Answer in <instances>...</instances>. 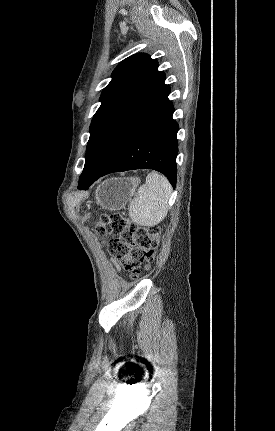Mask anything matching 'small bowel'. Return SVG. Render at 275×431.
<instances>
[{"instance_id": "1", "label": "small bowel", "mask_w": 275, "mask_h": 431, "mask_svg": "<svg viewBox=\"0 0 275 431\" xmlns=\"http://www.w3.org/2000/svg\"><path fill=\"white\" fill-rule=\"evenodd\" d=\"M115 263H116V266H118V264H117V262L115 261Z\"/></svg>"}]
</instances>
